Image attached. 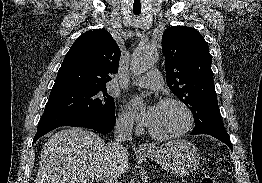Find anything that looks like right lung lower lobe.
Segmentation results:
<instances>
[{
	"mask_svg": "<svg viewBox=\"0 0 262 183\" xmlns=\"http://www.w3.org/2000/svg\"><path fill=\"white\" fill-rule=\"evenodd\" d=\"M115 122V113H107L103 116L74 113H48L42 115L33 143L41 136L60 126L86 127L96 130L101 134H107L114 128Z\"/></svg>",
	"mask_w": 262,
	"mask_h": 183,
	"instance_id": "98d812e1",
	"label": "right lung lower lobe"
}]
</instances>
